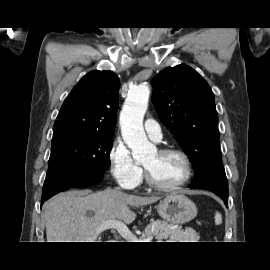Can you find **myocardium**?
Here are the masks:
<instances>
[{
    "instance_id": "f54148a6",
    "label": "myocardium",
    "mask_w": 270,
    "mask_h": 270,
    "mask_svg": "<svg viewBox=\"0 0 270 270\" xmlns=\"http://www.w3.org/2000/svg\"><path fill=\"white\" fill-rule=\"evenodd\" d=\"M157 151L160 154H176V155H178L184 164L185 174H184V177L179 182H177L175 184L161 185V184L156 183L152 179L147 168L145 166H143L144 177H145V180H146V183L148 184V186L151 187L152 189H155V190L161 191V192H171V191L178 190V189L182 188L183 186H185L190 181L192 174H193V168H192L191 160H190L188 154L184 150H182L180 148H176V147H162V148H159Z\"/></svg>"
}]
</instances>
